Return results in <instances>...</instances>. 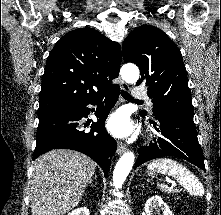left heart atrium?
I'll return each instance as SVG.
<instances>
[{
  "label": "left heart atrium",
  "instance_id": "39dd6f15",
  "mask_svg": "<svg viewBox=\"0 0 221 215\" xmlns=\"http://www.w3.org/2000/svg\"><path fill=\"white\" fill-rule=\"evenodd\" d=\"M108 130L116 137H126L131 134L133 125L127 113L123 110L111 115L106 124Z\"/></svg>",
  "mask_w": 221,
  "mask_h": 215
}]
</instances>
